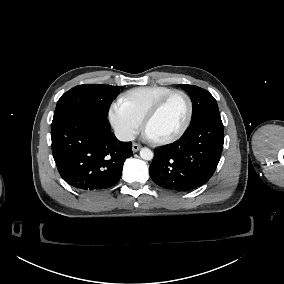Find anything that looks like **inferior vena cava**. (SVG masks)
<instances>
[{
    "instance_id": "1",
    "label": "inferior vena cava",
    "mask_w": 284,
    "mask_h": 284,
    "mask_svg": "<svg viewBox=\"0 0 284 284\" xmlns=\"http://www.w3.org/2000/svg\"><path fill=\"white\" fill-rule=\"evenodd\" d=\"M115 135L119 140L122 141H133L135 140V134L124 129H118L115 131Z\"/></svg>"
}]
</instances>
